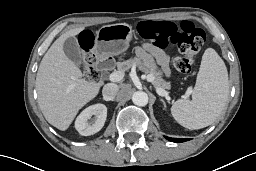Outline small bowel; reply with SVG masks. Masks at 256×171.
Returning <instances> with one entry per match:
<instances>
[{
	"mask_svg": "<svg viewBox=\"0 0 256 171\" xmlns=\"http://www.w3.org/2000/svg\"><path fill=\"white\" fill-rule=\"evenodd\" d=\"M148 53H150L155 58L156 62L160 65L163 72L167 74L169 58L166 53L159 48L153 47L150 44H143L137 49V54L140 57L145 58L147 57Z\"/></svg>",
	"mask_w": 256,
	"mask_h": 171,
	"instance_id": "1",
	"label": "small bowel"
}]
</instances>
